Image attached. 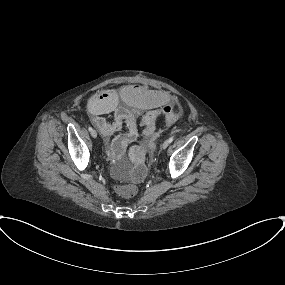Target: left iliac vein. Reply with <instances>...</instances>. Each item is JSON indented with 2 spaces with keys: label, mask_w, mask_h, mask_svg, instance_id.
Here are the masks:
<instances>
[{
  "label": "left iliac vein",
  "mask_w": 285,
  "mask_h": 285,
  "mask_svg": "<svg viewBox=\"0 0 285 285\" xmlns=\"http://www.w3.org/2000/svg\"><path fill=\"white\" fill-rule=\"evenodd\" d=\"M169 144H170L169 140H165L161 145V149L163 150L166 149L169 146Z\"/></svg>",
  "instance_id": "4c4485c4"
}]
</instances>
